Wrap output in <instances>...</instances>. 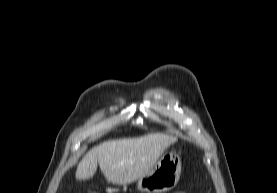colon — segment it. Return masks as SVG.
I'll use <instances>...</instances> for the list:
<instances>
[{"instance_id": "colon-1", "label": "colon", "mask_w": 277, "mask_h": 193, "mask_svg": "<svg viewBox=\"0 0 277 193\" xmlns=\"http://www.w3.org/2000/svg\"><path fill=\"white\" fill-rule=\"evenodd\" d=\"M93 193H96V192H93ZM175 193H186L184 191H178V192H175Z\"/></svg>"}]
</instances>
